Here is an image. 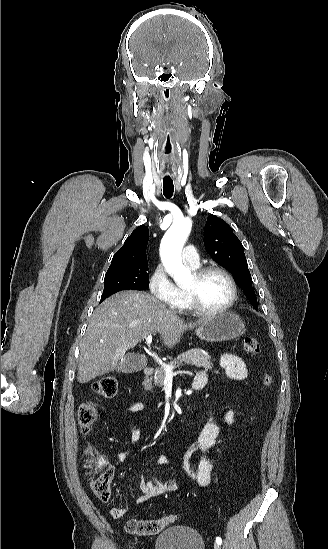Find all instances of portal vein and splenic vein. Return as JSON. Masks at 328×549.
I'll return each mask as SVG.
<instances>
[{
    "instance_id": "portal-vein-and-splenic-vein-1",
    "label": "portal vein and splenic vein",
    "mask_w": 328,
    "mask_h": 549,
    "mask_svg": "<svg viewBox=\"0 0 328 549\" xmlns=\"http://www.w3.org/2000/svg\"><path fill=\"white\" fill-rule=\"evenodd\" d=\"M146 343L148 345V347H150L151 343H152V335H148V337H146ZM149 355H151V357H153L154 361H156V363H158V365H161V367H163L165 373H168V375H172V371L173 369H175V367H170V365H166V363H163V361H161V359H159L158 355H156V353H149ZM177 367H179V365H177Z\"/></svg>"
}]
</instances>
